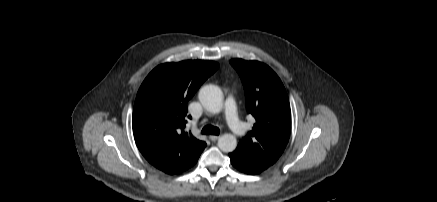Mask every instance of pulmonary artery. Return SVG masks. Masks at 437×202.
I'll list each match as a JSON object with an SVG mask.
<instances>
[{"instance_id":"obj_1","label":"pulmonary artery","mask_w":437,"mask_h":202,"mask_svg":"<svg viewBox=\"0 0 437 202\" xmlns=\"http://www.w3.org/2000/svg\"><path fill=\"white\" fill-rule=\"evenodd\" d=\"M225 117L230 129L237 135L244 134V126L239 121L236 114L235 100L232 96H229L225 101Z\"/></svg>"}]
</instances>
